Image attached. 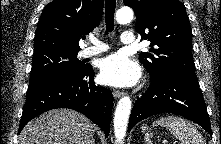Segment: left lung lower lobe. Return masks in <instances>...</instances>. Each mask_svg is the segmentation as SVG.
<instances>
[{
	"instance_id": "0a47b994",
	"label": "left lung lower lobe",
	"mask_w": 221,
	"mask_h": 144,
	"mask_svg": "<svg viewBox=\"0 0 221 144\" xmlns=\"http://www.w3.org/2000/svg\"><path fill=\"white\" fill-rule=\"evenodd\" d=\"M148 90L136 100L129 119L128 131L139 121L159 113H174L202 126L211 136L206 104L198 79L178 73L150 74Z\"/></svg>"
}]
</instances>
